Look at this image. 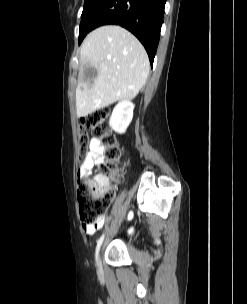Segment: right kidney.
I'll list each match as a JSON object with an SVG mask.
<instances>
[{
	"label": "right kidney",
	"mask_w": 247,
	"mask_h": 304,
	"mask_svg": "<svg viewBox=\"0 0 247 304\" xmlns=\"http://www.w3.org/2000/svg\"><path fill=\"white\" fill-rule=\"evenodd\" d=\"M134 104L130 101H121L113 109L109 125L117 133H125L133 118Z\"/></svg>",
	"instance_id": "obj_1"
}]
</instances>
